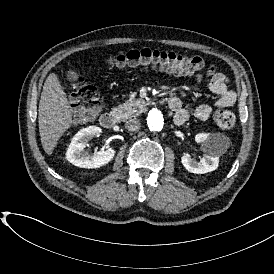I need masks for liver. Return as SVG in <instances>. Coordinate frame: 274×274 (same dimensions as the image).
<instances>
[{
  "mask_svg": "<svg viewBox=\"0 0 274 274\" xmlns=\"http://www.w3.org/2000/svg\"><path fill=\"white\" fill-rule=\"evenodd\" d=\"M68 80L78 73L69 69L65 73ZM74 109L57 73H51L43 86L39 101L38 125L44 152L51 156L58 141L74 124Z\"/></svg>",
  "mask_w": 274,
  "mask_h": 274,
  "instance_id": "1",
  "label": "liver"
}]
</instances>
